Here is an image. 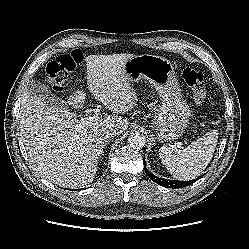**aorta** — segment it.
I'll return each instance as SVG.
<instances>
[{
    "mask_svg": "<svg viewBox=\"0 0 249 249\" xmlns=\"http://www.w3.org/2000/svg\"><path fill=\"white\" fill-rule=\"evenodd\" d=\"M128 143L133 149H142L146 144V138L143 134L134 132L129 135Z\"/></svg>",
    "mask_w": 249,
    "mask_h": 249,
    "instance_id": "aorta-1",
    "label": "aorta"
}]
</instances>
